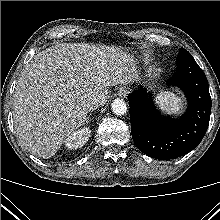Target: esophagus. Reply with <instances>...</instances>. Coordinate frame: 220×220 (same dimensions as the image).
Returning a JSON list of instances; mask_svg holds the SVG:
<instances>
[{
  "mask_svg": "<svg viewBox=\"0 0 220 220\" xmlns=\"http://www.w3.org/2000/svg\"><path fill=\"white\" fill-rule=\"evenodd\" d=\"M126 94H127V90L125 88L120 89L119 91L120 96H126Z\"/></svg>",
  "mask_w": 220,
  "mask_h": 220,
  "instance_id": "obj_1",
  "label": "esophagus"
}]
</instances>
